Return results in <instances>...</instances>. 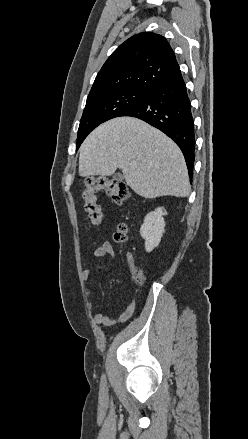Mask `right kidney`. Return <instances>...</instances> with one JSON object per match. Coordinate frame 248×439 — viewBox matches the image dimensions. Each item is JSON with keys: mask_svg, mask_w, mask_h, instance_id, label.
<instances>
[{"mask_svg": "<svg viewBox=\"0 0 248 439\" xmlns=\"http://www.w3.org/2000/svg\"><path fill=\"white\" fill-rule=\"evenodd\" d=\"M165 215H167L166 210L163 207H159L145 216L144 223L140 228V235L145 240L146 252H151L159 245L165 232V221L163 218Z\"/></svg>", "mask_w": 248, "mask_h": 439, "instance_id": "obj_1", "label": "right kidney"}]
</instances>
